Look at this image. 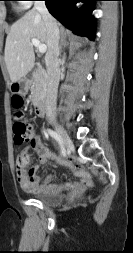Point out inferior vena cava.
Here are the masks:
<instances>
[{"label": "inferior vena cava", "instance_id": "inferior-vena-cava-1", "mask_svg": "<svg viewBox=\"0 0 133 253\" xmlns=\"http://www.w3.org/2000/svg\"><path fill=\"white\" fill-rule=\"evenodd\" d=\"M34 9L37 10L47 29L48 51L45 56L48 74L47 95H46V115L54 119L56 115L57 89L60 79V61H59V28L46 8L44 1H35Z\"/></svg>", "mask_w": 133, "mask_h": 253}]
</instances>
